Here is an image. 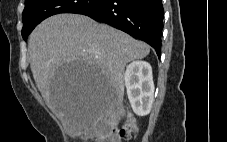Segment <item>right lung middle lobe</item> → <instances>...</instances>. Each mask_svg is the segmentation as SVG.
<instances>
[{
    "label": "right lung middle lobe",
    "instance_id": "right-lung-middle-lobe-1",
    "mask_svg": "<svg viewBox=\"0 0 227 142\" xmlns=\"http://www.w3.org/2000/svg\"><path fill=\"white\" fill-rule=\"evenodd\" d=\"M105 0H28L22 14V37L26 41L44 19L59 13H79L102 5Z\"/></svg>",
    "mask_w": 227,
    "mask_h": 142
}]
</instances>
